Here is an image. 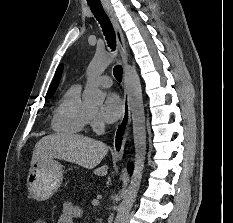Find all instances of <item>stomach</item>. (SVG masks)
Wrapping results in <instances>:
<instances>
[{
	"label": "stomach",
	"instance_id": "1",
	"mask_svg": "<svg viewBox=\"0 0 233 223\" xmlns=\"http://www.w3.org/2000/svg\"><path fill=\"white\" fill-rule=\"evenodd\" d=\"M63 181V165L54 157H40L29 167L27 187L37 201L50 199Z\"/></svg>",
	"mask_w": 233,
	"mask_h": 223
}]
</instances>
